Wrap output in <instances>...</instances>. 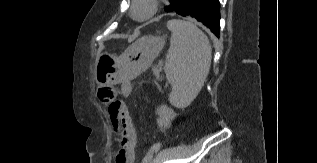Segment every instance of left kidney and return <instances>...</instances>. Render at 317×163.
<instances>
[{
	"label": "left kidney",
	"instance_id": "1",
	"mask_svg": "<svg viewBox=\"0 0 317 163\" xmlns=\"http://www.w3.org/2000/svg\"><path fill=\"white\" fill-rule=\"evenodd\" d=\"M156 114L159 116L157 119V124L161 130L169 128L172 121L176 117L174 110L166 105H161L158 107Z\"/></svg>",
	"mask_w": 317,
	"mask_h": 163
}]
</instances>
